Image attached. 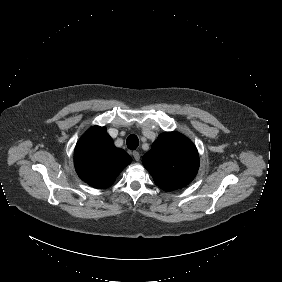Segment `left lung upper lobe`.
Masks as SVG:
<instances>
[{
  "label": "left lung upper lobe",
  "mask_w": 282,
  "mask_h": 282,
  "mask_svg": "<svg viewBox=\"0 0 282 282\" xmlns=\"http://www.w3.org/2000/svg\"><path fill=\"white\" fill-rule=\"evenodd\" d=\"M142 162L155 184L168 192L188 185L199 169L195 145L178 132L160 134Z\"/></svg>",
  "instance_id": "1"
}]
</instances>
